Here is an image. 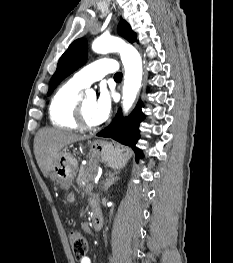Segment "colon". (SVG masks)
<instances>
[{
	"label": "colon",
	"mask_w": 233,
	"mask_h": 263,
	"mask_svg": "<svg viewBox=\"0 0 233 263\" xmlns=\"http://www.w3.org/2000/svg\"><path fill=\"white\" fill-rule=\"evenodd\" d=\"M69 241L72 247V252L76 260H81L86 257L88 251V243L85 236L76 230L69 232Z\"/></svg>",
	"instance_id": "colon-1"
}]
</instances>
